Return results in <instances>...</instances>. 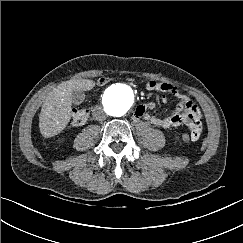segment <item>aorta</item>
<instances>
[{
    "label": "aorta",
    "instance_id": "1",
    "mask_svg": "<svg viewBox=\"0 0 243 243\" xmlns=\"http://www.w3.org/2000/svg\"><path fill=\"white\" fill-rule=\"evenodd\" d=\"M122 91L123 86L120 85L109 87L105 92V103L112 109L124 113L130 107V103L126 101Z\"/></svg>",
    "mask_w": 243,
    "mask_h": 243
}]
</instances>
